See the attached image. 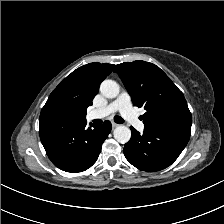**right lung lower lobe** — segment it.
I'll use <instances>...</instances> for the list:
<instances>
[{"label": "right lung lower lobe", "mask_w": 224, "mask_h": 224, "mask_svg": "<svg viewBox=\"0 0 224 224\" xmlns=\"http://www.w3.org/2000/svg\"><path fill=\"white\" fill-rule=\"evenodd\" d=\"M111 123L86 127V121L40 116L39 134L52 163L66 172H81L97 160Z\"/></svg>", "instance_id": "obj_1"}]
</instances>
